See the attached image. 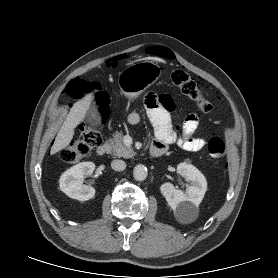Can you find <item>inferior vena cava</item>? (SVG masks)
Instances as JSON below:
<instances>
[{"label": "inferior vena cava", "instance_id": "602c4592", "mask_svg": "<svg viewBox=\"0 0 278 278\" xmlns=\"http://www.w3.org/2000/svg\"><path fill=\"white\" fill-rule=\"evenodd\" d=\"M111 167L116 171H123L126 168V163L123 160H113Z\"/></svg>", "mask_w": 278, "mask_h": 278}]
</instances>
